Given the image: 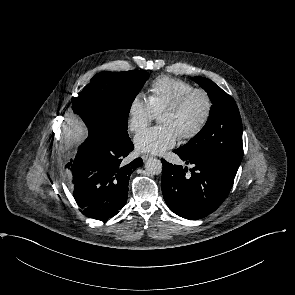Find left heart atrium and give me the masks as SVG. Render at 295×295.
<instances>
[{
  "label": "left heart atrium",
  "instance_id": "left-heart-atrium-1",
  "mask_svg": "<svg viewBox=\"0 0 295 295\" xmlns=\"http://www.w3.org/2000/svg\"><path fill=\"white\" fill-rule=\"evenodd\" d=\"M179 134L170 126L160 125L149 128L135 137L136 149L140 152L162 154L173 148Z\"/></svg>",
  "mask_w": 295,
  "mask_h": 295
}]
</instances>
